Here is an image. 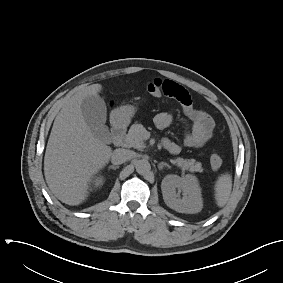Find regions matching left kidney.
<instances>
[{"label":"left kidney","mask_w":283,"mask_h":283,"mask_svg":"<svg viewBox=\"0 0 283 283\" xmlns=\"http://www.w3.org/2000/svg\"><path fill=\"white\" fill-rule=\"evenodd\" d=\"M161 190L167 206L179 213L194 214L202 210L201 189L193 175H167L162 181Z\"/></svg>","instance_id":"1"}]
</instances>
